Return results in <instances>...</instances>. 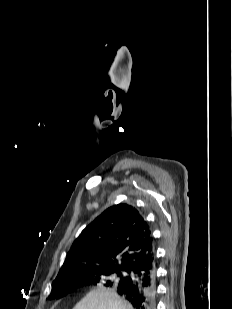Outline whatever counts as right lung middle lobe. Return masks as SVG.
<instances>
[{"mask_svg":"<svg viewBox=\"0 0 232 309\" xmlns=\"http://www.w3.org/2000/svg\"><path fill=\"white\" fill-rule=\"evenodd\" d=\"M121 271L126 273L123 270L111 269L82 274L73 280L58 283L55 287L52 286L51 295L61 298L79 286L90 284H103L104 286L116 288L127 278L126 274H122Z\"/></svg>","mask_w":232,"mask_h":309,"instance_id":"dd1d6c3e","label":"right lung middle lobe"}]
</instances>
